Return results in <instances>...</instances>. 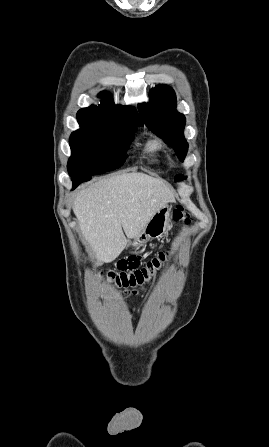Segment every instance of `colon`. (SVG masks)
Here are the masks:
<instances>
[{"instance_id": "1", "label": "colon", "mask_w": 269, "mask_h": 447, "mask_svg": "<svg viewBox=\"0 0 269 447\" xmlns=\"http://www.w3.org/2000/svg\"><path fill=\"white\" fill-rule=\"evenodd\" d=\"M173 219L177 224H188L189 217L181 206L173 210ZM140 253H129L128 257H121L112 272L99 274L98 278L106 279L117 292L125 297H136L146 293L166 272L169 265L170 254L159 252L154 258L140 263ZM130 271V272H123Z\"/></svg>"}]
</instances>
